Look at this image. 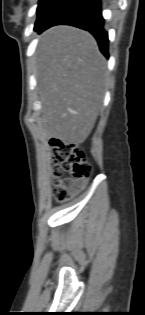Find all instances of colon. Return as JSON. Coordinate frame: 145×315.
Returning <instances> with one entry per match:
<instances>
[{
    "label": "colon",
    "instance_id": "5ec220e1",
    "mask_svg": "<svg viewBox=\"0 0 145 315\" xmlns=\"http://www.w3.org/2000/svg\"><path fill=\"white\" fill-rule=\"evenodd\" d=\"M50 145L53 149L54 197L58 202H65L83 187L91 176L92 167L74 142L52 137Z\"/></svg>",
    "mask_w": 145,
    "mask_h": 315
}]
</instances>
